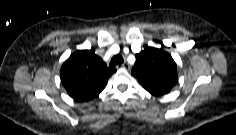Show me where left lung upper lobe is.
Returning a JSON list of instances; mask_svg holds the SVG:
<instances>
[{"instance_id": "5c2ea615", "label": "left lung upper lobe", "mask_w": 236, "mask_h": 135, "mask_svg": "<svg viewBox=\"0 0 236 135\" xmlns=\"http://www.w3.org/2000/svg\"><path fill=\"white\" fill-rule=\"evenodd\" d=\"M135 57L131 73L143 88L155 96L169 93L178 80L177 66L171 55L162 49L146 46Z\"/></svg>"}]
</instances>
